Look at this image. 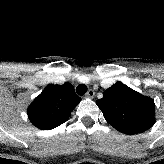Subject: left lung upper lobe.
Wrapping results in <instances>:
<instances>
[{"label": "left lung upper lobe", "mask_w": 164, "mask_h": 164, "mask_svg": "<svg viewBox=\"0 0 164 164\" xmlns=\"http://www.w3.org/2000/svg\"><path fill=\"white\" fill-rule=\"evenodd\" d=\"M96 104L106 121L124 134L144 132L155 122L154 101L121 82L106 89Z\"/></svg>", "instance_id": "left-lung-upper-lobe-1"}]
</instances>
